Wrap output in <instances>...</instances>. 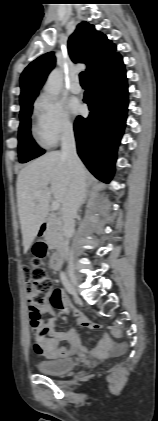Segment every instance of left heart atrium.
<instances>
[{
    "mask_svg": "<svg viewBox=\"0 0 158 421\" xmlns=\"http://www.w3.org/2000/svg\"><path fill=\"white\" fill-rule=\"evenodd\" d=\"M68 108L73 114H79L82 111V106L77 100H71Z\"/></svg>",
    "mask_w": 158,
    "mask_h": 421,
    "instance_id": "left-heart-atrium-1",
    "label": "left heart atrium"
}]
</instances>
